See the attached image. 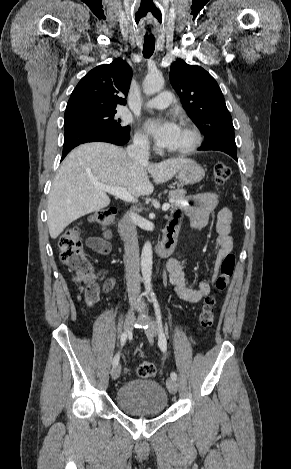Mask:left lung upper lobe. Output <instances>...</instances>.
<instances>
[{
  "instance_id": "1",
  "label": "left lung upper lobe",
  "mask_w": 291,
  "mask_h": 469,
  "mask_svg": "<svg viewBox=\"0 0 291 469\" xmlns=\"http://www.w3.org/2000/svg\"><path fill=\"white\" fill-rule=\"evenodd\" d=\"M170 81L181 98L183 108L203 131L205 145L220 141L235 143L232 118L223 94L206 70L177 59L170 68Z\"/></svg>"
}]
</instances>
